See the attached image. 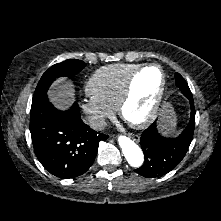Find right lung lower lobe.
<instances>
[{
    "label": "right lung lower lobe",
    "mask_w": 221,
    "mask_h": 221,
    "mask_svg": "<svg viewBox=\"0 0 221 221\" xmlns=\"http://www.w3.org/2000/svg\"><path fill=\"white\" fill-rule=\"evenodd\" d=\"M30 132L40 163L63 179L84 174L95 160L99 142L108 138L83 123L76 103L60 111L47 95L31 106Z\"/></svg>",
    "instance_id": "1"
}]
</instances>
